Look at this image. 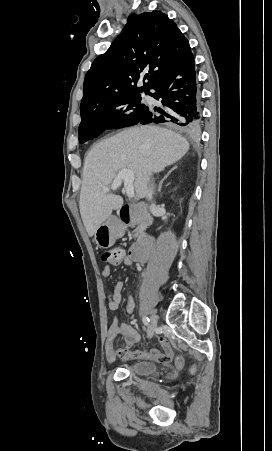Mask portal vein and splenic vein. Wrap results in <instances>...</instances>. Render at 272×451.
<instances>
[{"instance_id": "1", "label": "portal vein and splenic vein", "mask_w": 272, "mask_h": 451, "mask_svg": "<svg viewBox=\"0 0 272 451\" xmlns=\"http://www.w3.org/2000/svg\"><path fill=\"white\" fill-rule=\"evenodd\" d=\"M122 180L124 182V188L126 190L128 198H134L133 182L135 178L134 172H132V170H121V172L117 174V178H115L111 188H103V192L117 190L118 186H121Z\"/></svg>"}]
</instances>
